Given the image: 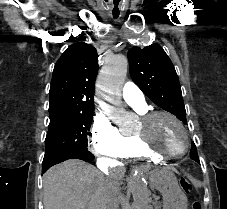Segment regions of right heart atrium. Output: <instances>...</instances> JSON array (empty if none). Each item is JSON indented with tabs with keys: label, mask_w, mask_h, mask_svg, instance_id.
Segmentation results:
<instances>
[{
	"label": "right heart atrium",
	"mask_w": 227,
	"mask_h": 209,
	"mask_svg": "<svg viewBox=\"0 0 227 209\" xmlns=\"http://www.w3.org/2000/svg\"><path fill=\"white\" fill-rule=\"evenodd\" d=\"M92 152L101 158L117 159L126 146L127 137L108 119L98 117L91 130Z\"/></svg>",
	"instance_id": "1"
}]
</instances>
